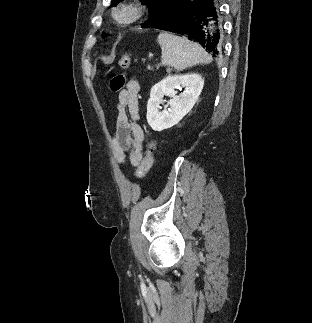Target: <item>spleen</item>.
Instances as JSON below:
<instances>
[{
	"instance_id": "3e777b00",
	"label": "spleen",
	"mask_w": 312,
	"mask_h": 323,
	"mask_svg": "<svg viewBox=\"0 0 312 323\" xmlns=\"http://www.w3.org/2000/svg\"><path fill=\"white\" fill-rule=\"evenodd\" d=\"M158 42L162 50V66H172L178 72L196 64H210L212 60L200 44L190 42L188 38L174 36L172 32L162 30L158 36Z\"/></svg>"
}]
</instances>
